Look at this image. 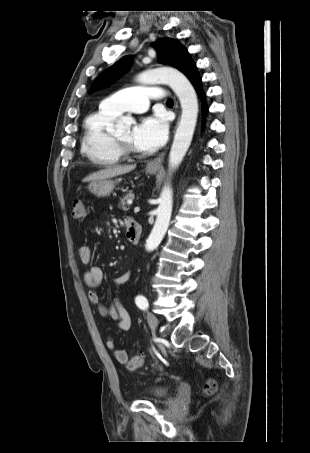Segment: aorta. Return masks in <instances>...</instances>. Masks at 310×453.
<instances>
[{"label": "aorta", "instance_id": "obj_1", "mask_svg": "<svg viewBox=\"0 0 310 453\" xmlns=\"http://www.w3.org/2000/svg\"><path fill=\"white\" fill-rule=\"evenodd\" d=\"M137 81L142 84L166 83L172 88L180 101L182 108L181 118L169 153V167L175 170L181 164L191 144L197 122L198 100L195 89L185 75L170 67L146 70L137 77ZM132 123L133 119L131 117H122L116 124V130L123 132ZM172 206V189L169 186H165L160 195L154 227L146 241L145 247L147 251L155 250L161 243L169 226Z\"/></svg>", "mask_w": 310, "mask_h": 453}]
</instances>
